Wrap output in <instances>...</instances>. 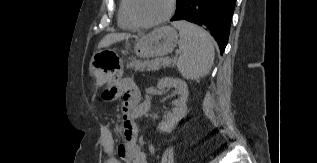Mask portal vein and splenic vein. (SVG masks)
I'll list each match as a JSON object with an SVG mask.
<instances>
[{"instance_id": "obj_1", "label": "portal vein and splenic vein", "mask_w": 317, "mask_h": 163, "mask_svg": "<svg viewBox=\"0 0 317 163\" xmlns=\"http://www.w3.org/2000/svg\"><path fill=\"white\" fill-rule=\"evenodd\" d=\"M166 62H167V63H169V62H170V60H166Z\"/></svg>"}]
</instances>
